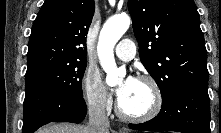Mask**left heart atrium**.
<instances>
[{
  "label": "left heart atrium",
  "mask_w": 221,
  "mask_h": 133,
  "mask_svg": "<svg viewBox=\"0 0 221 133\" xmlns=\"http://www.w3.org/2000/svg\"><path fill=\"white\" fill-rule=\"evenodd\" d=\"M136 81L137 79H135L133 76H129L122 82V84L116 89V94L119 100L125 97L131 91Z\"/></svg>",
  "instance_id": "1"
}]
</instances>
